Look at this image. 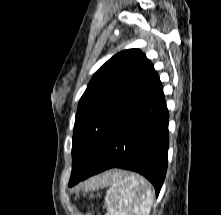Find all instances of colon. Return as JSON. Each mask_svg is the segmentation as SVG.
Masks as SVG:
<instances>
[{
	"label": "colon",
	"mask_w": 221,
	"mask_h": 215,
	"mask_svg": "<svg viewBox=\"0 0 221 215\" xmlns=\"http://www.w3.org/2000/svg\"><path fill=\"white\" fill-rule=\"evenodd\" d=\"M89 215H99V214L96 212H91Z\"/></svg>",
	"instance_id": "1"
}]
</instances>
